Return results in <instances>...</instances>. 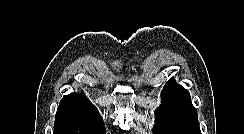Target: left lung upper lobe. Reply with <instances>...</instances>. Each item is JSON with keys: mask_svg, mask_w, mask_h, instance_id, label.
<instances>
[{"mask_svg": "<svg viewBox=\"0 0 244 134\" xmlns=\"http://www.w3.org/2000/svg\"><path fill=\"white\" fill-rule=\"evenodd\" d=\"M161 96L162 104L155 110L157 134H201L197 111L186 89L170 79Z\"/></svg>", "mask_w": 244, "mask_h": 134, "instance_id": "5c2ea615", "label": "left lung upper lobe"}]
</instances>
